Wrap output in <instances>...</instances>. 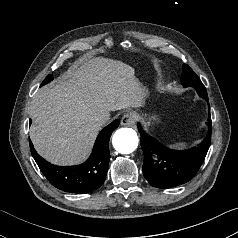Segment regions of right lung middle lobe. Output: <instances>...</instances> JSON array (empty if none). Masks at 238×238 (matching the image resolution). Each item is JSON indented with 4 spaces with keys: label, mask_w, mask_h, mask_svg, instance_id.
I'll list each match as a JSON object with an SVG mask.
<instances>
[{
    "label": "right lung middle lobe",
    "mask_w": 238,
    "mask_h": 238,
    "mask_svg": "<svg viewBox=\"0 0 238 238\" xmlns=\"http://www.w3.org/2000/svg\"><path fill=\"white\" fill-rule=\"evenodd\" d=\"M53 79V76L52 75H48L45 80L42 82L41 86L49 83L51 80Z\"/></svg>",
    "instance_id": "obj_1"
}]
</instances>
